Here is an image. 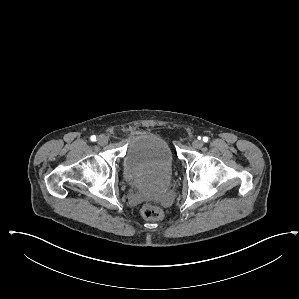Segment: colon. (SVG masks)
Wrapping results in <instances>:
<instances>
[{
  "instance_id": "1",
  "label": "colon",
  "mask_w": 299,
  "mask_h": 299,
  "mask_svg": "<svg viewBox=\"0 0 299 299\" xmlns=\"http://www.w3.org/2000/svg\"><path fill=\"white\" fill-rule=\"evenodd\" d=\"M140 215L149 221H159L164 218V212L158 207L151 204H144L140 208Z\"/></svg>"
}]
</instances>
